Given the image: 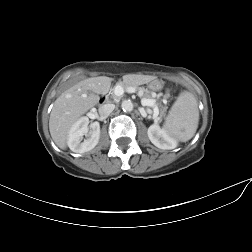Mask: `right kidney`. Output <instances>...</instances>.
Returning a JSON list of instances; mask_svg holds the SVG:
<instances>
[{"instance_id":"right-kidney-1","label":"right kidney","mask_w":252,"mask_h":252,"mask_svg":"<svg viewBox=\"0 0 252 252\" xmlns=\"http://www.w3.org/2000/svg\"><path fill=\"white\" fill-rule=\"evenodd\" d=\"M89 119L82 117L77 120L69 130L68 146L75 153H84L92 150L99 142L100 124L95 121L88 127ZM89 134L88 139L83 140V136Z\"/></svg>"}]
</instances>
